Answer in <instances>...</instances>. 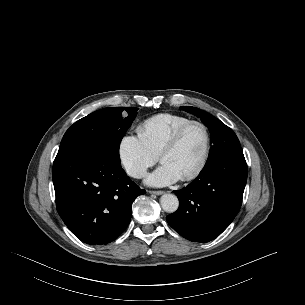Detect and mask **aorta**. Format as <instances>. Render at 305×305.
I'll return each instance as SVG.
<instances>
[{
  "label": "aorta",
  "mask_w": 305,
  "mask_h": 305,
  "mask_svg": "<svg viewBox=\"0 0 305 305\" xmlns=\"http://www.w3.org/2000/svg\"><path fill=\"white\" fill-rule=\"evenodd\" d=\"M162 209L168 213H173L178 209L179 201L174 194H164L160 198Z\"/></svg>",
  "instance_id": "762f6f07"
}]
</instances>
